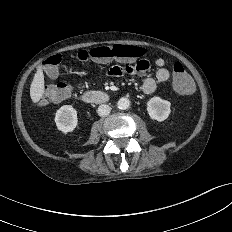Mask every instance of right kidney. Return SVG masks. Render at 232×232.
Returning <instances> with one entry per match:
<instances>
[{
  "label": "right kidney",
  "mask_w": 232,
  "mask_h": 232,
  "mask_svg": "<svg viewBox=\"0 0 232 232\" xmlns=\"http://www.w3.org/2000/svg\"><path fill=\"white\" fill-rule=\"evenodd\" d=\"M78 122L77 111L71 105H64L57 110L55 123L59 131L67 134L73 132Z\"/></svg>",
  "instance_id": "obj_1"
}]
</instances>
